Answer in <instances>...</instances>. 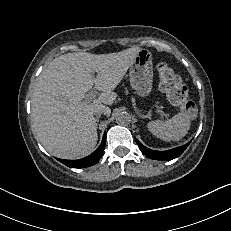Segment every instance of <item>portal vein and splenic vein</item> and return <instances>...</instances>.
<instances>
[{
  "instance_id": "portal-vein-and-splenic-vein-1",
  "label": "portal vein and splenic vein",
  "mask_w": 231,
  "mask_h": 231,
  "mask_svg": "<svg viewBox=\"0 0 231 231\" xmlns=\"http://www.w3.org/2000/svg\"><path fill=\"white\" fill-rule=\"evenodd\" d=\"M97 95V91H91L88 94H86V101L91 102L93 98H95Z\"/></svg>"
}]
</instances>
